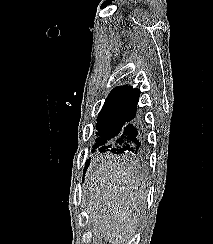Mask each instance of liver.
<instances>
[{"instance_id": "1", "label": "liver", "mask_w": 213, "mask_h": 244, "mask_svg": "<svg viewBox=\"0 0 213 244\" xmlns=\"http://www.w3.org/2000/svg\"><path fill=\"white\" fill-rule=\"evenodd\" d=\"M87 189L93 232L113 244H126L145 209L146 176L121 158H107L89 173Z\"/></svg>"}]
</instances>
